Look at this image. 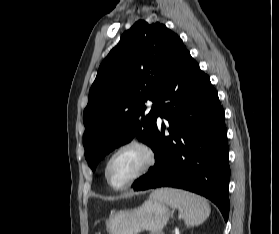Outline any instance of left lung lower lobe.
Wrapping results in <instances>:
<instances>
[{
	"label": "left lung lower lobe",
	"instance_id": "1",
	"mask_svg": "<svg viewBox=\"0 0 279 234\" xmlns=\"http://www.w3.org/2000/svg\"><path fill=\"white\" fill-rule=\"evenodd\" d=\"M155 165L133 183L136 191L168 186L205 196L229 215V149L224 110L208 75L184 46L159 93Z\"/></svg>",
	"mask_w": 279,
	"mask_h": 234
}]
</instances>
